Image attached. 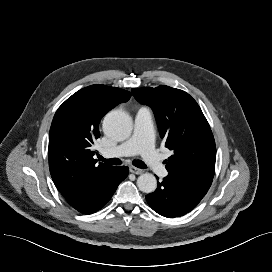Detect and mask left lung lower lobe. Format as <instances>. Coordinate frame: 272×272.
<instances>
[{"instance_id":"1","label":"left lung lower lobe","mask_w":272,"mask_h":272,"mask_svg":"<svg viewBox=\"0 0 272 272\" xmlns=\"http://www.w3.org/2000/svg\"><path fill=\"white\" fill-rule=\"evenodd\" d=\"M213 179L200 175L169 172L157 189L146 196L158 214L174 218L194 209L205 196Z\"/></svg>"}]
</instances>
